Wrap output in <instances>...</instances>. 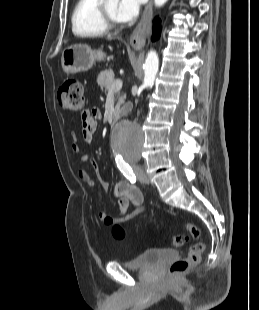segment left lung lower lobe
Wrapping results in <instances>:
<instances>
[{"label": "left lung lower lobe", "mask_w": 259, "mask_h": 310, "mask_svg": "<svg viewBox=\"0 0 259 310\" xmlns=\"http://www.w3.org/2000/svg\"><path fill=\"white\" fill-rule=\"evenodd\" d=\"M160 34V20L156 19L153 24V39H158Z\"/></svg>", "instance_id": "left-lung-lower-lobe-1"}]
</instances>
